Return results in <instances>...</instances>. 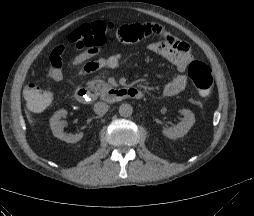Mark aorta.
Instances as JSON below:
<instances>
[{
  "label": "aorta",
  "mask_w": 254,
  "mask_h": 216,
  "mask_svg": "<svg viewBox=\"0 0 254 216\" xmlns=\"http://www.w3.org/2000/svg\"><path fill=\"white\" fill-rule=\"evenodd\" d=\"M133 113V108L130 104L128 103H122L120 106H119V114L122 116V117H130Z\"/></svg>",
  "instance_id": "obj_1"
}]
</instances>
